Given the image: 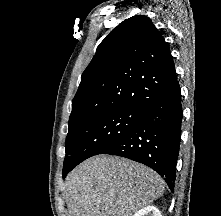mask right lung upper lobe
Instances as JSON below:
<instances>
[{"label":"right lung upper lobe","mask_w":221,"mask_h":216,"mask_svg":"<svg viewBox=\"0 0 221 216\" xmlns=\"http://www.w3.org/2000/svg\"><path fill=\"white\" fill-rule=\"evenodd\" d=\"M177 78L168 44L143 15L120 23L82 74L69 126L120 108L148 105Z\"/></svg>","instance_id":"1"}]
</instances>
